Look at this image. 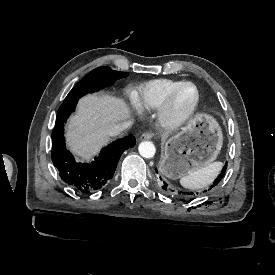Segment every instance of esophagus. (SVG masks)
<instances>
[{
	"instance_id": "esophagus-1",
	"label": "esophagus",
	"mask_w": 275,
	"mask_h": 275,
	"mask_svg": "<svg viewBox=\"0 0 275 275\" xmlns=\"http://www.w3.org/2000/svg\"><path fill=\"white\" fill-rule=\"evenodd\" d=\"M152 137H153L152 133L146 132V133L141 135L140 139L141 140H148V139H151Z\"/></svg>"
}]
</instances>
